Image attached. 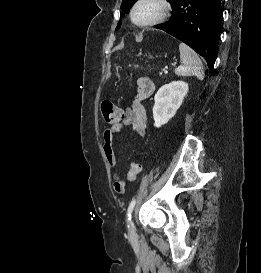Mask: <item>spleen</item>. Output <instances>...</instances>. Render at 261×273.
<instances>
[{
  "mask_svg": "<svg viewBox=\"0 0 261 273\" xmlns=\"http://www.w3.org/2000/svg\"><path fill=\"white\" fill-rule=\"evenodd\" d=\"M179 51L182 65L175 69V74L178 76H195L199 80H203L204 69L197 53L185 43H180Z\"/></svg>",
  "mask_w": 261,
  "mask_h": 273,
  "instance_id": "obj_1",
  "label": "spleen"
}]
</instances>
